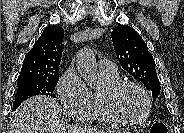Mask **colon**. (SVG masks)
Masks as SVG:
<instances>
[{"label":"colon","mask_w":184,"mask_h":133,"mask_svg":"<svg viewBox=\"0 0 184 133\" xmlns=\"http://www.w3.org/2000/svg\"><path fill=\"white\" fill-rule=\"evenodd\" d=\"M150 133H168V129L163 123H155L152 125Z\"/></svg>","instance_id":"obj_1"}]
</instances>
